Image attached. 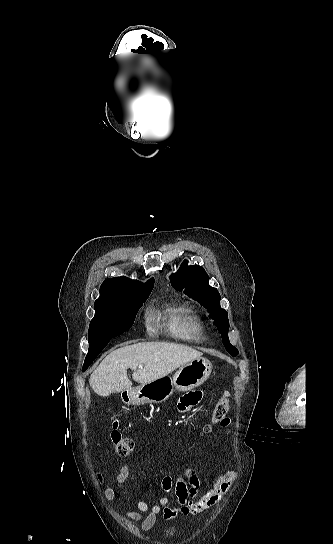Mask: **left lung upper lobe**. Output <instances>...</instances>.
<instances>
[{
    "label": "left lung upper lobe",
    "instance_id": "obj_1",
    "mask_svg": "<svg viewBox=\"0 0 333 544\" xmlns=\"http://www.w3.org/2000/svg\"><path fill=\"white\" fill-rule=\"evenodd\" d=\"M170 281L176 290L181 291L185 288L187 295L198 300L210 310L211 315L216 320L215 324L222 335L226 350L232 356H236L238 350L231 345L228 338V313L220 306V294L218 290L209 286V277L205 270L200 266L186 267V263H184L177 274L171 276Z\"/></svg>",
    "mask_w": 333,
    "mask_h": 544
}]
</instances>
